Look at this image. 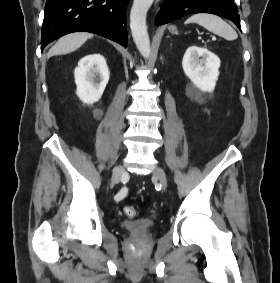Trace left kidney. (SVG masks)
<instances>
[{
	"label": "left kidney",
	"instance_id": "1",
	"mask_svg": "<svg viewBox=\"0 0 280 283\" xmlns=\"http://www.w3.org/2000/svg\"><path fill=\"white\" fill-rule=\"evenodd\" d=\"M220 59L206 48L190 46L183 57L186 76L203 92H212L219 76Z\"/></svg>",
	"mask_w": 280,
	"mask_h": 283
}]
</instances>
